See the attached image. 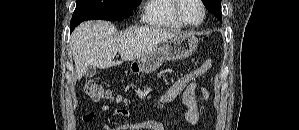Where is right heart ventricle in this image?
Returning <instances> with one entry per match:
<instances>
[{
	"mask_svg": "<svg viewBox=\"0 0 299 130\" xmlns=\"http://www.w3.org/2000/svg\"><path fill=\"white\" fill-rule=\"evenodd\" d=\"M145 23L154 27L182 29L184 25L174 13V0H149L143 15Z\"/></svg>",
	"mask_w": 299,
	"mask_h": 130,
	"instance_id": "e07e8e85",
	"label": "right heart ventricle"
}]
</instances>
